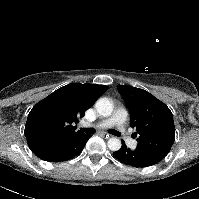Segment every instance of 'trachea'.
Returning a JSON list of instances; mask_svg holds the SVG:
<instances>
[{"mask_svg":"<svg viewBox=\"0 0 199 199\" xmlns=\"http://www.w3.org/2000/svg\"><path fill=\"white\" fill-rule=\"evenodd\" d=\"M83 132L87 133V134H94L95 133V129L93 128H82L81 129ZM109 133L115 135V136H119V132L116 130H109Z\"/></svg>","mask_w":199,"mask_h":199,"instance_id":"trachea-1","label":"trachea"}]
</instances>
